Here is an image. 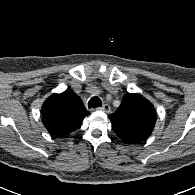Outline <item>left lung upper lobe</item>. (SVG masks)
<instances>
[{"label": "left lung upper lobe", "instance_id": "obj_1", "mask_svg": "<svg viewBox=\"0 0 195 195\" xmlns=\"http://www.w3.org/2000/svg\"><path fill=\"white\" fill-rule=\"evenodd\" d=\"M113 131L126 144L141 143L152 133L156 113L143 96L129 93L123 97L118 110L109 116Z\"/></svg>", "mask_w": 195, "mask_h": 195}]
</instances>
